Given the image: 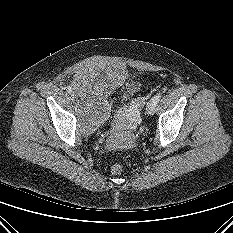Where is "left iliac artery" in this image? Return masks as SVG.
<instances>
[{
	"label": "left iliac artery",
	"instance_id": "1",
	"mask_svg": "<svg viewBox=\"0 0 233 233\" xmlns=\"http://www.w3.org/2000/svg\"><path fill=\"white\" fill-rule=\"evenodd\" d=\"M161 99V93L156 94L153 98L152 101L157 104Z\"/></svg>",
	"mask_w": 233,
	"mask_h": 233
}]
</instances>
